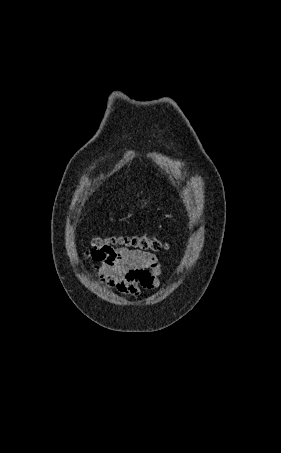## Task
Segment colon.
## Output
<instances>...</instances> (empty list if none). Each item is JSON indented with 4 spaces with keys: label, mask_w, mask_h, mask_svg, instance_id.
<instances>
[{
    "label": "colon",
    "mask_w": 281,
    "mask_h": 453,
    "mask_svg": "<svg viewBox=\"0 0 281 453\" xmlns=\"http://www.w3.org/2000/svg\"><path fill=\"white\" fill-rule=\"evenodd\" d=\"M111 245H124V247L134 245L136 250H154L155 254L165 248V245L161 241L145 236L123 237L106 242L96 240L94 242V249L87 254L86 259L91 262H104L103 251L104 249H110Z\"/></svg>",
    "instance_id": "1"
}]
</instances>
